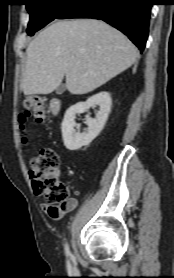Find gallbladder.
<instances>
[{"mask_svg": "<svg viewBox=\"0 0 174 278\" xmlns=\"http://www.w3.org/2000/svg\"><path fill=\"white\" fill-rule=\"evenodd\" d=\"M66 86L64 84H61L57 89H56V94L61 95L65 92Z\"/></svg>", "mask_w": 174, "mask_h": 278, "instance_id": "bac80fb5", "label": "gallbladder"}]
</instances>
